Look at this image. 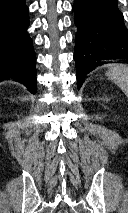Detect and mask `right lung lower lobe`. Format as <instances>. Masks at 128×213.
Wrapping results in <instances>:
<instances>
[{
	"mask_svg": "<svg viewBox=\"0 0 128 213\" xmlns=\"http://www.w3.org/2000/svg\"><path fill=\"white\" fill-rule=\"evenodd\" d=\"M25 0H0V81L15 79L36 93L35 52Z\"/></svg>",
	"mask_w": 128,
	"mask_h": 213,
	"instance_id": "98d812e1",
	"label": "right lung lower lobe"
}]
</instances>
